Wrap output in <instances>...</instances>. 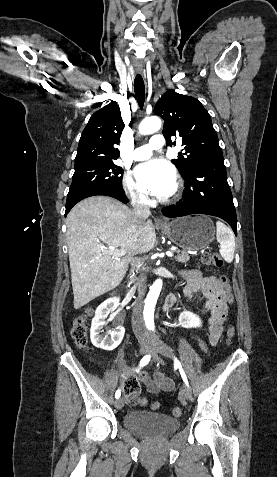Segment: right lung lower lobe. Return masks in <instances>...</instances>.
<instances>
[{"mask_svg":"<svg viewBox=\"0 0 277 477\" xmlns=\"http://www.w3.org/2000/svg\"><path fill=\"white\" fill-rule=\"evenodd\" d=\"M96 195H104V196H110V197H113L123 203H127L128 202V199L124 193V191L122 192H118V191H106V190H101V191H95V192H92V193H89L85 196H83L82 198H80L79 200H77L76 202H74L71 206L69 207H66V211H65V215L68 214V212L71 210V208L76 204L78 203L79 201L87 198V197H90V196H96Z\"/></svg>","mask_w":277,"mask_h":477,"instance_id":"98d812e1","label":"right lung lower lobe"}]
</instances>
